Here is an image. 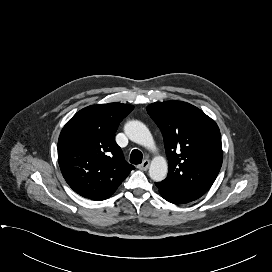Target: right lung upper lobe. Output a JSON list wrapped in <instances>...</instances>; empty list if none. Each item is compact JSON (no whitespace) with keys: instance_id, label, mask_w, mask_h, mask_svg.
Segmentation results:
<instances>
[{"instance_id":"obj_1","label":"right lung upper lobe","mask_w":272,"mask_h":272,"mask_svg":"<svg viewBox=\"0 0 272 272\" xmlns=\"http://www.w3.org/2000/svg\"><path fill=\"white\" fill-rule=\"evenodd\" d=\"M133 108L117 102L88 106L63 127L58 140L59 166L79 195L105 200L134 169L115 141L119 123Z\"/></svg>"}]
</instances>
